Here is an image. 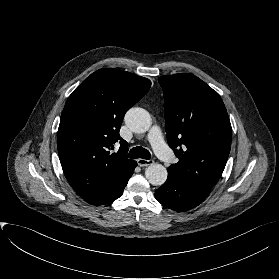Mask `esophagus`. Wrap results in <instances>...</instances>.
I'll return each mask as SVG.
<instances>
[{"mask_svg":"<svg viewBox=\"0 0 279 279\" xmlns=\"http://www.w3.org/2000/svg\"><path fill=\"white\" fill-rule=\"evenodd\" d=\"M137 163L141 167H147L149 165H152L154 163L153 160H146V159H138Z\"/></svg>","mask_w":279,"mask_h":279,"instance_id":"1","label":"esophagus"}]
</instances>
